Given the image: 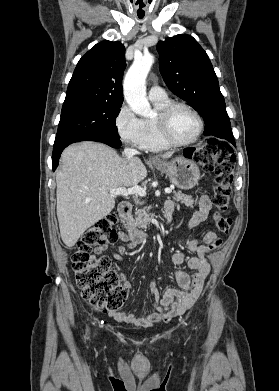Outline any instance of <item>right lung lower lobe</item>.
Returning <instances> with one entry per match:
<instances>
[{"label": "right lung lower lobe", "mask_w": 279, "mask_h": 391, "mask_svg": "<svg viewBox=\"0 0 279 391\" xmlns=\"http://www.w3.org/2000/svg\"><path fill=\"white\" fill-rule=\"evenodd\" d=\"M83 140L99 141L102 143H106L114 148H118L121 145V141L117 133L111 131H103V132L87 135L70 142L55 144L53 148V155H52L53 170H55L56 167L58 166L59 158L64 148H66L71 143L79 142Z\"/></svg>", "instance_id": "98d812e1"}]
</instances>
